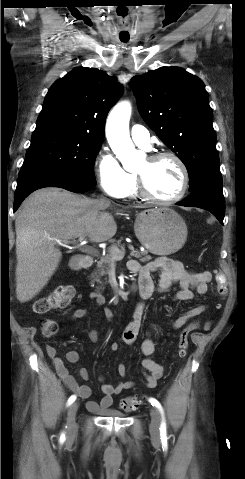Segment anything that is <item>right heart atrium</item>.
Here are the masks:
<instances>
[{
    "mask_svg": "<svg viewBox=\"0 0 245 479\" xmlns=\"http://www.w3.org/2000/svg\"><path fill=\"white\" fill-rule=\"evenodd\" d=\"M96 171L104 193L114 198L122 197L128 183L127 173L109 150L103 149L99 153Z\"/></svg>",
    "mask_w": 245,
    "mask_h": 479,
    "instance_id": "right-heart-atrium-1",
    "label": "right heart atrium"
}]
</instances>
